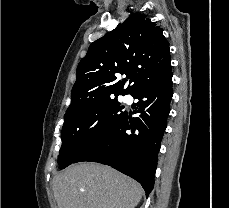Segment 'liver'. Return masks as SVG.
Wrapping results in <instances>:
<instances>
[{
  "label": "liver",
  "mask_w": 229,
  "mask_h": 208,
  "mask_svg": "<svg viewBox=\"0 0 229 208\" xmlns=\"http://www.w3.org/2000/svg\"><path fill=\"white\" fill-rule=\"evenodd\" d=\"M58 208H135L143 190L135 180L95 162L72 164L53 180Z\"/></svg>",
  "instance_id": "obj_1"
}]
</instances>
